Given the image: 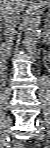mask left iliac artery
<instances>
[{"label":"left iliac artery","instance_id":"obj_1","mask_svg":"<svg viewBox=\"0 0 50 148\" xmlns=\"http://www.w3.org/2000/svg\"><path fill=\"white\" fill-rule=\"evenodd\" d=\"M38 125H40L41 127H42V129H45L43 126H44V123H43V121H41V120H38Z\"/></svg>","mask_w":50,"mask_h":148}]
</instances>
